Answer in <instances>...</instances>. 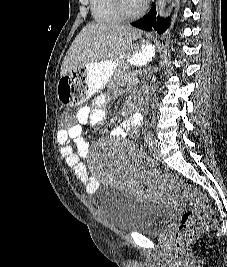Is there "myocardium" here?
<instances>
[{"label": "myocardium", "instance_id": "obj_1", "mask_svg": "<svg viewBox=\"0 0 227 267\" xmlns=\"http://www.w3.org/2000/svg\"><path fill=\"white\" fill-rule=\"evenodd\" d=\"M114 7L117 13L120 15L122 19L131 20L140 17L144 11L143 7H139L138 9L131 11L127 9L125 6L124 0H113Z\"/></svg>", "mask_w": 227, "mask_h": 267}]
</instances>
